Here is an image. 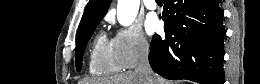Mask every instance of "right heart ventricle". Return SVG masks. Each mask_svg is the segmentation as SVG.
<instances>
[{
	"label": "right heart ventricle",
	"mask_w": 260,
	"mask_h": 84,
	"mask_svg": "<svg viewBox=\"0 0 260 84\" xmlns=\"http://www.w3.org/2000/svg\"><path fill=\"white\" fill-rule=\"evenodd\" d=\"M117 63L112 41L106 39L103 34H99L94 42L89 57V72L92 75H108L120 70Z\"/></svg>",
	"instance_id": "obj_1"
}]
</instances>
